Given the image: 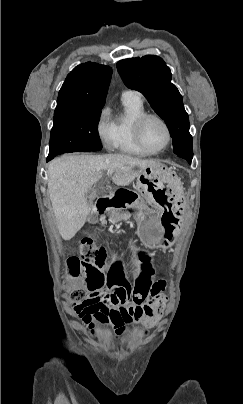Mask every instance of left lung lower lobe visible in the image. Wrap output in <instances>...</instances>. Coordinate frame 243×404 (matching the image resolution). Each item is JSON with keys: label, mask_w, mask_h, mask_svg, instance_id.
Instances as JSON below:
<instances>
[{"label": "left lung lower lobe", "mask_w": 243, "mask_h": 404, "mask_svg": "<svg viewBox=\"0 0 243 404\" xmlns=\"http://www.w3.org/2000/svg\"><path fill=\"white\" fill-rule=\"evenodd\" d=\"M176 156L186 159L189 164H191L192 157H193V155H187V154H176Z\"/></svg>", "instance_id": "obj_1"}]
</instances>
